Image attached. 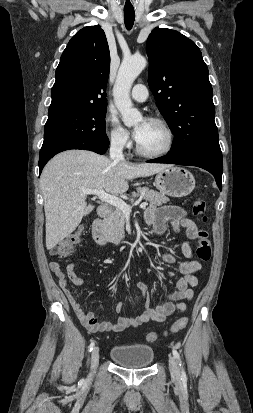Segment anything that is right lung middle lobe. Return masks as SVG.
Listing matches in <instances>:
<instances>
[{"mask_svg": "<svg viewBox=\"0 0 253 413\" xmlns=\"http://www.w3.org/2000/svg\"><path fill=\"white\" fill-rule=\"evenodd\" d=\"M106 110L107 107L74 109L48 115L42 148L62 141L92 142L107 139Z\"/></svg>", "mask_w": 253, "mask_h": 413, "instance_id": "dd1d6c3e", "label": "right lung middle lobe"}]
</instances>
